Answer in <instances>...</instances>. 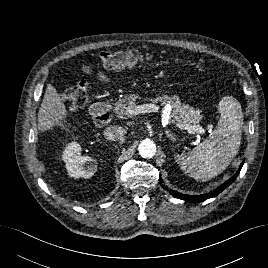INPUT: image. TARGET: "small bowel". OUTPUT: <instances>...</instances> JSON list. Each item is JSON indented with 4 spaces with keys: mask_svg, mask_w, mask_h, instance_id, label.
Segmentation results:
<instances>
[{
    "mask_svg": "<svg viewBox=\"0 0 268 268\" xmlns=\"http://www.w3.org/2000/svg\"><path fill=\"white\" fill-rule=\"evenodd\" d=\"M83 71L86 74H94L102 83L113 84L115 82V78L112 75L105 73L102 70L94 71L87 63L83 65Z\"/></svg>",
    "mask_w": 268,
    "mask_h": 268,
    "instance_id": "small-bowel-1",
    "label": "small bowel"
}]
</instances>
